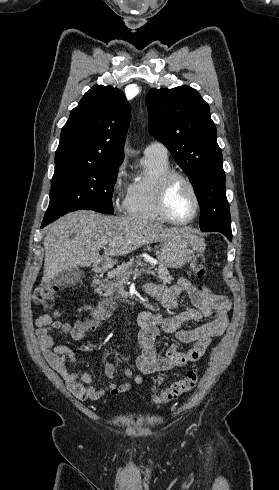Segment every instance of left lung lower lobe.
<instances>
[{"instance_id":"obj_1","label":"left lung lower lobe","mask_w":279,"mask_h":490,"mask_svg":"<svg viewBox=\"0 0 279 490\" xmlns=\"http://www.w3.org/2000/svg\"><path fill=\"white\" fill-rule=\"evenodd\" d=\"M231 239H232V233L230 234V241H231Z\"/></svg>"}]
</instances>
